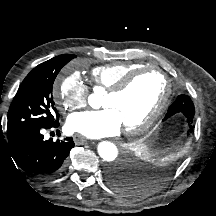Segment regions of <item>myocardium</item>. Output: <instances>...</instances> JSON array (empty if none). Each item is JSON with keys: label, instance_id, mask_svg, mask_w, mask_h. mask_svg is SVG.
I'll return each mask as SVG.
<instances>
[{"label": "myocardium", "instance_id": "myocardium-1", "mask_svg": "<svg viewBox=\"0 0 216 216\" xmlns=\"http://www.w3.org/2000/svg\"><path fill=\"white\" fill-rule=\"evenodd\" d=\"M149 71L157 72L164 80L165 89L163 96L158 104V106L139 124L132 126V127H125L124 133L128 135L139 134L147 129H149L165 112L167 106L169 104V100L171 97V83L167 75L164 73L163 70L156 66H142L124 76L114 87L107 90V95L118 96L123 94L128 90L131 86L133 81L140 76L141 74Z\"/></svg>", "mask_w": 216, "mask_h": 216}]
</instances>
